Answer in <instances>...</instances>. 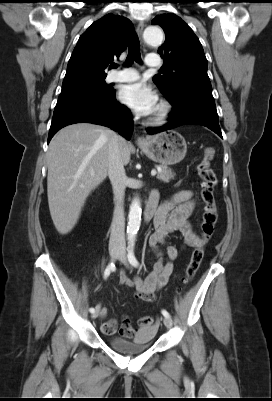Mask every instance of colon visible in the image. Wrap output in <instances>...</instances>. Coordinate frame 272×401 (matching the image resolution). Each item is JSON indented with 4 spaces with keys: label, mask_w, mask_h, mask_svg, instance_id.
Instances as JSON below:
<instances>
[{
    "label": "colon",
    "mask_w": 272,
    "mask_h": 401,
    "mask_svg": "<svg viewBox=\"0 0 272 401\" xmlns=\"http://www.w3.org/2000/svg\"><path fill=\"white\" fill-rule=\"evenodd\" d=\"M214 157V149L205 147L203 156L197 165V172L201 179V200L203 203V214L201 222V242L194 248L188 263L183 283L188 284L195 276L204 257L205 243L213 234L217 223V204L215 199V189L218 183L217 175L211 168ZM140 323L149 325L153 323V318L142 317Z\"/></svg>",
    "instance_id": "1"
}]
</instances>
